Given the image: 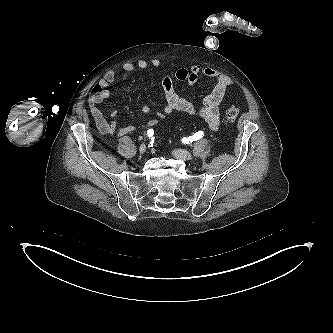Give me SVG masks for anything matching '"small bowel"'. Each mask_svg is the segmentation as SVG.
<instances>
[{
  "instance_id": "small-bowel-1",
  "label": "small bowel",
  "mask_w": 333,
  "mask_h": 333,
  "mask_svg": "<svg viewBox=\"0 0 333 333\" xmlns=\"http://www.w3.org/2000/svg\"><path fill=\"white\" fill-rule=\"evenodd\" d=\"M160 64L161 62L158 59H152L150 61L140 59L136 62L124 63L122 69L126 72H132L136 69H146L149 66L159 67ZM200 76H205L214 81L213 89L204 98L202 105H195L178 95L175 91L172 78L165 76L162 80V87L166 103L162 111L157 113V118L150 119L141 126L130 125L121 127L116 124V111L110 113V121H107L99 107V105L110 96L108 87L115 82L117 77L116 70H109L95 85L90 97L91 112L95 124L102 134L110 138L116 136L121 137L138 130L152 128L157 124L158 119H163L166 115L174 111H180L203 118L210 129L217 130L220 123L219 107L232 82L225 74L213 68H201L198 65H193L190 68H179L175 72V78L179 81L186 82L189 86L195 85ZM142 112L148 114L150 108L143 106Z\"/></svg>"
}]
</instances>
